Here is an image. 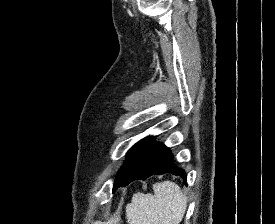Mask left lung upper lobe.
<instances>
[{
  "instance_id": "left-lung-upper-lobe-1",
  "label": "left lung upper lobe",
  "mask_w": 275,
  "mask_h": 224,
  "mask_svg": "<svg viewBox=\"0 0 275 224\" xmlns=\"http://www.w3.org/2000/svg\"><path fill=\"white\" fill-rule=\"evenodd\" d=\"M148 139H149V137H147V138L139 141L138 143H136L129 150V152L127 154V160L124 163V165L122 166V168L119 170V173L117 175L116 180L119 179L120 177H122L127 172V170L129 169L130 165L132 164V162L136 158L137 154L139 153V151L141 150V148L144 146V144L147 142Z\"/></svg>"
}]
</instances>
